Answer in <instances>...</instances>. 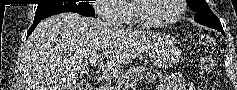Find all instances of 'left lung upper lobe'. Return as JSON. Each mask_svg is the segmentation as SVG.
<instances>
[{
  "label": "left lung upper lobe",
  "mask_w": 237,
  "mask_h": 90,
  "mask_svg": "<svg viewBox=\"0 0 237 90\" xmlns=\"http://www.w3.org/2000/svg\"><path fill=\"white\" fill-rule=\"evenodd\" d=\"M189 8L196 12L194 20L202 25L217 29L223 33V28L218 17L210 10L205 0H186Z\"/></svg>",
  "instance_id": "obj_1"
}]
</instances>
